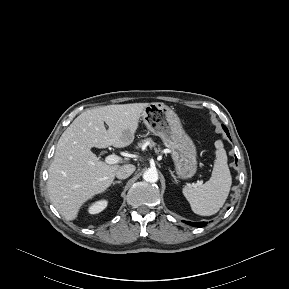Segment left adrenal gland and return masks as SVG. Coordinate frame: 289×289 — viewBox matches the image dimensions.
<instances>
[{
	"instance_id": "a2214340",
	"label": "left adrenal gland",
	"mask_w": 289,
	"mask_h": 289,
	"mask_svg": "<svg viewBox=\"0 0 289 289\" xmlns=\"http://www.w3.org/2000/svg\"><path fill=\"white\" fill-rule=\"evenodd\" d=\"M170 172H171V175H172L173 179H174L175 182L177 183V179H176L175 175L173 174V172H172L171 170H170Z\"/></svg>"
}]
</instances>
